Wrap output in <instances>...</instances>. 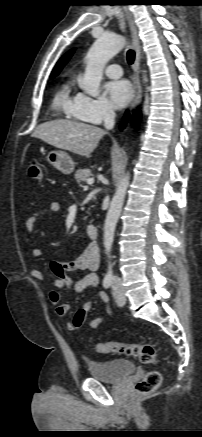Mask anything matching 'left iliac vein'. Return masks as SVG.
Segmentation results:
<instances>
[{
	"label": "left iliac vein",
	"instance_id": "left-iliac-vein-1",
	"mask_svg": "<svg viewBox=\"0 0 202 437\" xmlns=\"http://www.w3.org/2000/svg\"><path fill=\"white\" fill-rule=\"evenodd\" d=\"M115 295H116V303L119 306H123L125 304V302H126V297H125V294H124L123 290L121 288H118L115 291Z\"/></svg>",
	"mask_w": 202,
	"mask_h": 437
}]
</instances>
